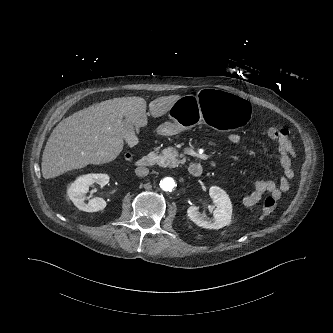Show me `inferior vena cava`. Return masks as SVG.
<instances>
[{
    "label": "inferior vena cava",
    "instance_id": "1",
    "mask_svg": "<svg viewBox=\"0 0 333 333\" xmlns=\"http://www.w3.org/2000/svg\"><path fill=\"white\" fill-rule=\"evenodd\" d=\"M135 173L137 176L139 177H144V176H147L148 173H149V169L146 168V167H137L135 169Z\"/></svg>",
    "mask_w": 333,
    "mask_h": 333
}]
</instances>
